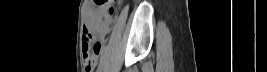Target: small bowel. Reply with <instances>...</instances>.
Listing matches in <instances>:
<instances>
[{
  "label": "small bowel",
  "instance_id": "obj_1",
  "mask_svg": "<svg viewBox=\"0 0 267 72\" xmlns=\"http://www.w3.org/2000/svg\"><path fill=\"white\" fill-rule=\"evenodd\" d=\"M89 31H90V28H89V27L85 28V35H84V38H85L86 36H88V32H89ZM107 32H108V28H104L102 31H100V35H101V36H105V35L107 34ZM84 38H83V43H82V50H83L84 45H85ZM102 48H103V45L100 44V51H99V54H98V56H97V60L99 59V56L101 55ZM83 59H84V56H83ZM93 69H94V67H88V66L85 67V70H86L87 72H90V71H92Z\"/></svg>",
  "mask_w": 267,
  "mask_h": 72
}]
</instances>
